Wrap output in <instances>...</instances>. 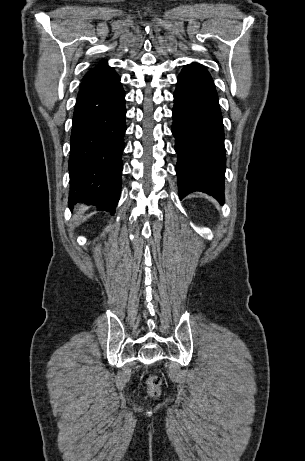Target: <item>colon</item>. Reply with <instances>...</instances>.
I'll use <instances>...</instances> for the list:
<instances>
[{"label": "colon", "mask_w": 305, "mask_h": 461, "mask_svg": "<svg viewBox=\"0 0 305 461\" xmlns=\"http://www.w3.org/2000/svg\"><path fill=\"white\" fill-rule=\"evenodd\" d=\"M160 386H161V379L158 375L156 374H151L147 378V388H148V393L152 397H156L160 393Z\"/></svg>", "instance_id": "obj_1"}]
</instances>
